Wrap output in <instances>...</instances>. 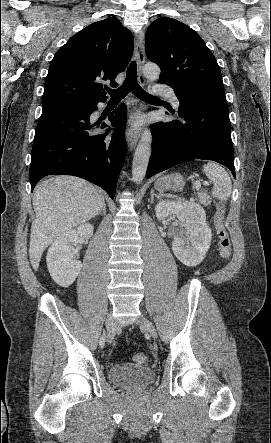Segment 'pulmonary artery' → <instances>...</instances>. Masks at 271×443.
Wrapping results in <instances>:
<instances>
[{
	"instance_id": "1",
	"label": "pulmonary artery",
	"mask_w": 271,
	"mask_h": 443,
	"mask_svg": "<svg viewBox=\"0 0 271 443\" xmlns=\"http://www.w3.org/2000/svg\"><path fill=\"white\" fill-rule=\"evenodd\" d=\"M161 94L166 96L169 99V101L173 104L174 107H178L179 106V100H178L176 94L174 93V91L172 89H168V90H166L164 92H161Z\"/></svg>"
}]
</instances>
